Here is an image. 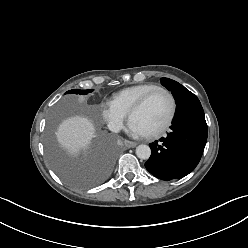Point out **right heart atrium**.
Segmentation results:
<instances>
[{
	"mask_svg": "<svg viewBox=\"0 0 248 248\" xmlns=\"http://www.w3.org/2000/svg\"><path fill=\"white\" fill-rule=\"evenodd\" d=\"M102 117L111 130L119 131L123 128L127 114L112 102H107L102 107Z\"/></svg>",
	"mask_w": 248,
	"mask_h": 248,
	"instance_id": "right-heart-atrium-1",
	"label": "right heart atrium"
}]
</instances>
